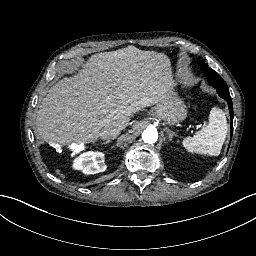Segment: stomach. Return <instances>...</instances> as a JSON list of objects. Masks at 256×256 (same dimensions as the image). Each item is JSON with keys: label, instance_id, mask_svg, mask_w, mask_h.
Returning a JSON list of instances; mask_svg holds the SVG:
<instances>
[{"label": "stomach", "instance_id": "obj_1", "mask_svg": "<svg viewBox=\"0 0 256 256\" xmlns=\"http://www.w3.org/2000/svg\"><path fill=\"white\" fill-rule=\"evenodd\" d=\"M166 94L167 96L150 111L149 115L167 125H177L187 117L186 104L176 95L174 89H167Z\"/></svg>", "mask_w": 256, "mask_h": 256}]
</instances>
